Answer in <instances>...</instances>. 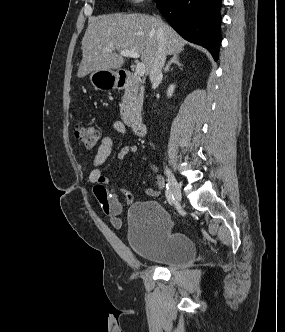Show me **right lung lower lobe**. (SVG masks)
<instances>
[{
	"label": "right lung lower lobe",
	"instance_id": "1",
	"mask_svg": "<svg viewBox=\"0 0 285 332\" xmlns=\"http://www.w3.org/2000/svg\"><path fill=\"white\" fill-rule=\"evenodd\" d=\"M160 13L186 40L207 48L217 61L221 0H155Z\"/></svg>",
	"mask_w": 285,
	"mask_h": 332
}]
</instances>
